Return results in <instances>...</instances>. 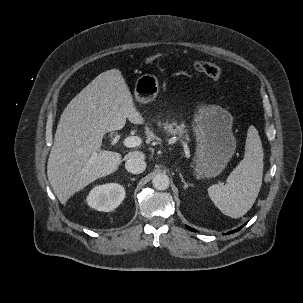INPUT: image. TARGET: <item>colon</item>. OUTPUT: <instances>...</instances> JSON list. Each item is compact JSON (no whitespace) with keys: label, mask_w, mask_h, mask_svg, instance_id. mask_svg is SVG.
Listing matches in <instances>:
<instances>
[{"label":"colon","mask_w":303,"mask_h":303,"mask_svg":"<svg viewBox=\"0 0 303 303\" xmlns=\"http://www.w3.org/2000/svg\"><path fill=\"white\" fill-rule=\"evenodd\" d=\"M160 58L159 54L152 55L147 58V63L148 64H153L155 63L158 59ZM194 68L196 71L199 73H202L214 80H219L222 77V69L209 62H204V61H197L194 63Z\"/></svg>","instance_id":"5ec220e1"}]
</instances>
